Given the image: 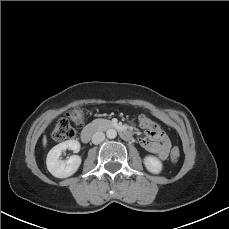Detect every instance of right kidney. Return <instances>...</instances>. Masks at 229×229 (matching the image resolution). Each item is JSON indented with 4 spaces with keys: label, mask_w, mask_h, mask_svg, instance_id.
<instances>
[{
    "label": "right kidney",
    "mask_w": 229,
    "mask_h": 229,
    "mask_svg": "<svg viewBox=\"0 0 229 229\" xmlns=\"http://www.w3.org/2000/svg\"><path fill=\"white\" fill-rule=\"evenodd\" d=\"M71 149L75 153L80 151V143L77 140H67L54 146L48 153L46 165L48 171L57 178H67L73 175L81 164V157L72 155L68 160H60L62 151Z\"/></svg>",
    "instance_id": "1"
}]
</instances>
